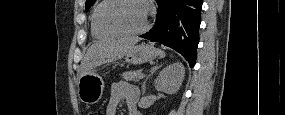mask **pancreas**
Listing matches in <instances>:
<instances>
[{
  "label": "pancreas",
  "instance_id": "1",
  "mask_svg": "<svg viewBox=\"0 0 285 115\" xmlns=\"http://www.w3.org/2000/svg\"><path fill=\"white\" fill-rule=\"evenodd\" d=\"M141 75V70H136V71H127L122 73V78L125 79L126 81H131L133 80L134 82H138L140 79Z\"/></svg>",
  "mask_w": 285,
  "mask_h": 115
}]
</instances>
